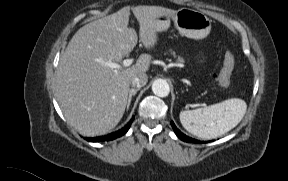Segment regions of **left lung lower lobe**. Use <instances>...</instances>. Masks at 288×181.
Returning <instances> with one entry per match:
<instances>
[{
	"instance_id": "obj_1",
	"label": "left lung lower lobe",
	"mask_w": 288,
	"mask_h": 181,
	"mask_svg": "<svg viewBox=\"0 0 288 181\" xmlns=\"http://www.w3.org/2000/svg\"><path fill=\"white\" fill-rule=\"evenodd\" d=\"M171 125H172V127H173V129H174L175 134H176V135L178 136V138H180L182 141L187 142V143H206V141H205V142L199 141V140L193 139V138H191V137L183 134V133L175 126V124H174L173 121H171Z\"/></svg>"
}]
</instances>
